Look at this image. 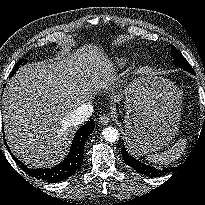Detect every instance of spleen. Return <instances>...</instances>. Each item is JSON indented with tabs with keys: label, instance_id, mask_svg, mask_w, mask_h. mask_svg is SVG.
Here are the masks:
<instances>
[{
	"label": "spleen",
	"instance_id": "3e777b00",
	"mask_svg": "<svg viewBox=\"0 0 205 205\" xmlns=\"http://www.w3.org/2000/svg\"><path fill=\"white\" fill-rule=\"evenodd\" d=\"M183 144V142H177L168 151H165L161 154L148 155L147 159L152 163L158 164H164L169 163L170 161H174L180 156V154L184 150L185 146Z\"/></svg>",
	"mask_w": 205,
	"mask_h": 205
}]
</instances>
